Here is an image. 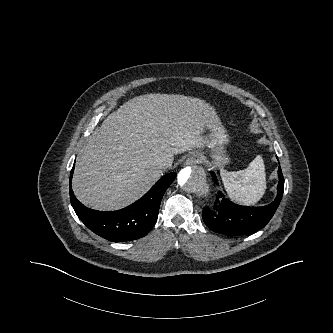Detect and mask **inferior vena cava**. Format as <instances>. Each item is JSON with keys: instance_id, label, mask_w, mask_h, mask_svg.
<instances>
[{"instance_id": "602c4592", "label": "inferior vena cava", "mask_w": 333, "mask_h": 333, "mask_svg": "<svg viewBox=\"0 0 333 333\" xmlns=\"http://www.w3.org/2000/svg\"><path fill=\"white\" fill-rule=\"evenodd\" d=\"M157 167L162 171V170H165L169 167V164L165 161H159L157 163Z\"/></svg>"}]
</instances>
